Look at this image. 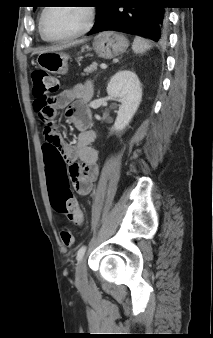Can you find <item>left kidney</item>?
<instances>
[{
  "instance_id": "1",
  "label": "left kidney",
  "mask_w": 213,
  "mask_h": 338,
  "mask_svg": "<svg viewBox=\"0 0 213 338\" xmlns=\"http://www.w3.org/2000/svg\"><path fill=\"white\" fill-rule=\"evenodd\" d=\"M107 93L121 103L111 130L123 131L131 122L142 100L140 80L133 71H118L110 79Z\"/></svg>"
}]
</instances>
